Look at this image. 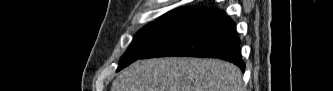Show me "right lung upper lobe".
Listing matches in <instances>:
<instances>
[{
  "mask_svg": "<svg viewBox=\"0 0 333 91\" xmlns=\"http://www.w3.org/2000/svg\"><path fill=\"white\" fill-rule=\"evenodd\" d=\"M204 10H192V9H174L162 16L161 18H175V19H186L191 20L199 15Z\"/></svg>",
  "mask_w": 333,
  "mask_h": 91,
  "instance_id": "obj_1",
  "label": "right lung upper lobe"
}]
</instances>
